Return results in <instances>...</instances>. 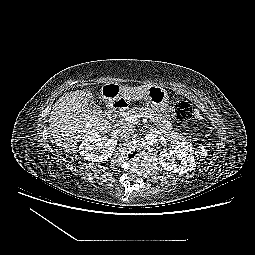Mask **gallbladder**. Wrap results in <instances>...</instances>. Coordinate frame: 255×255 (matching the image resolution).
I'll list each match as a JSON object with an SVG mask.
<instances>
[{
    "instance_id": "obj_1",
    "label": "gallbladder",
    "mask_w": 255,
    "mask_h": 255,
    "mask_svg": "<svg viewBox=\"0 0 255 255\" xmlns=\"http://www.w3.org/2000/svg\"><path fill=\"white\" fill-rule=\"evenodd\" d=\"M89 105L93 107V109L96 110L97 112H101V108L98 105H96V103H89Z\"/></svg>"
}]
</instances>
